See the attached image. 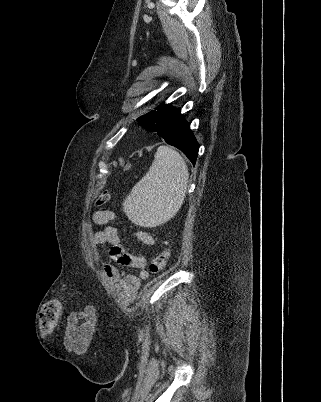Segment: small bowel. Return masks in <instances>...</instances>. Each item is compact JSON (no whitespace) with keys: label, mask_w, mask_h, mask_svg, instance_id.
Here are the masks:
<instances>
[{"label":"small bowel","mask_w":321,"mask_h":402,"mask_svg":"<svg viewBox=\"0 0 321 402\" xmlns=\"http://www.w3.org/2000/svg\"><path fill=\"white\" fill-rule=\"evenodd\" d=\"M114 214L108 210H97L92 214V222L104 229L94 234L93 243L96 247L109 245V258L119 265L128 266L137 271L136 274H128L120 271L112 262L106 261L103 264L105 276L116 290L120 300L124 304L131 303L137 294L143 281L149 277L147 271V259L140 254H132L126 251L122 244L119 230L112 225ZM136 238L146 246L155 243L154 237L145 230L136 232ZM95 305L93 302H85L83 307H78L75 313L65 317V342L68 347L75 351V356L86 353L87 340L91 339V329L96 327ZM80 326H78V322Z\"/></svg>","instance_id":"obj_1"}]
</instances>
